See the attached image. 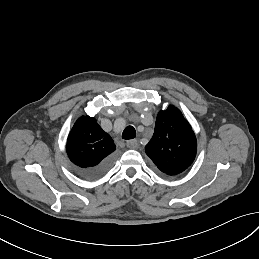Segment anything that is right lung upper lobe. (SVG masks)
I'll return each mask as SVG.
<instances>
[{"mask_svg": "<svg viewBox=\"0 0 259 259\" xmlns=\"http://www.w3.org/2000/svg\"><path fill=\"white\" fill-rule=\"evenodd\" d=\"M115 149L111 136L90 116H82L75 122L66 144L69 159L82 168L98 165Z\"/></svg>", "mask_w": 259, "mask_h": 259, "instance_id": "right-lung-upper-lobe-1", "label": "right lung upper lobe"}]
</instances>
